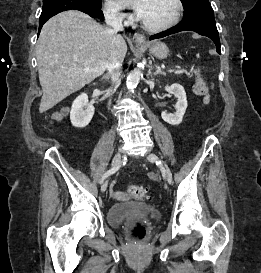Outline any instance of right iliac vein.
Wrapping results in <instances>:
<instances>
[{"label":"right iliac vein","instance_id":"1","mask_svg":"<svg viewBox=\"0 0 261 273\" xmlns=\"http://www.w3.org/2000/svg\"><path fill=\"white\" fill-rule=\"evenodd\" d=\"M121 160H122L121 151H118V152L115 154V156H114V158H113V160H112V166H111V168L117 167V166L120 164ZM107 187H108V181L106 180V181L102 184V186H101V191H102V192H105L106 189H107Z\"/></svg>","mask_w":261,"mask_h":273}]
</instances>
